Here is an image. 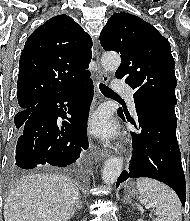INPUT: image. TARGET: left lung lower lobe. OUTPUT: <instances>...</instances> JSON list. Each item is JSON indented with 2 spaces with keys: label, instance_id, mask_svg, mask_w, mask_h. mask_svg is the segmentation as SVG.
<instances>
[{
  "label": "left lung lower lobe",
  "instance_id": "0a47b994",
  "mask_svg": "<svg viewBox=\"0 0 190 221\" xmlns=\"http://www.w3.org/2000/svg\"><path fill=\"white\" fill-rule=\"evenodd\" d=\"M174 106L156 100L135 102L139 124L136 125L132 119L127 120L139 128V133L131 132L133 155L129 169L121 173L116 187L128 178H153L170 186L185 205L186 183L176 138ZM118 114L124 120L123 113L120 111Z\"/></svg>",
  "mask_w": 190,
  "mask_h": 221
}]
</instances>
